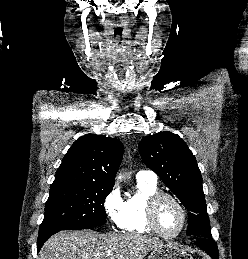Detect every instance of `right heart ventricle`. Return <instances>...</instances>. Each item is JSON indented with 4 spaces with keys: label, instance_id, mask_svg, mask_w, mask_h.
I'll return each instance as SVG.
<instances>
[{
    "label": "right heart ventricle",
    "instance_id": "obj_1",
    "mask_svg": "<svg viewBox=\"0 0 248 259\" xmlns=\"http://www.w3.org/2000/svg\"><path fill=\"white\" fill-rule=\"evenodd\" d=\"M159 191L157 182L137 179V190L124 202L121 228L129 233L153 234L147 220L149 198Z\"/></svg>",
    "mask_w": 248,
    "mask_h": 259
}]
</instances>
